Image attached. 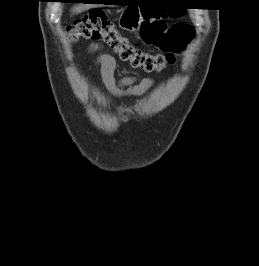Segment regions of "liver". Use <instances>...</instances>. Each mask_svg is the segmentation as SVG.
Returning a JSON list of instances; mask_svg holds the SVG:
<instances>
[{"mask_svg": "<svg viewBox=\"0 0 259 266\" xmlns=\"http://www.w3.org/2000/svg\"><path fill=\"white\" fill-rule=\"evenodd\" d=\"M90 7L91 6H89V5L79 4V5H76V6L73 7L72 13L78 14V13H81L82 11H84V10L90 8Z\"/></svg>", "mask_w": 259, "mask_h": 266, "instance_id": "liver-1", "label": "liver"}]
</instances>
